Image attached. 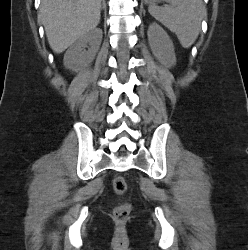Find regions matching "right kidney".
I'll use <instances>...</instances> for the list:
<instances>
[{"label":"right kidney","instance_id":"1","mask_svg":"<svg viewBox=\"0 0 248 250\" xmlns=\"http://www.w3.org/2000/svg\"><path fill=\"white\" fill-rule=\"evenodd\" d=\"M102 41V30L95 29L80 37L64 55V66L74 72L87 67L96 56ZM88 48V50H86Z\"/></svg>","mask_w":248,"mask_h":250}]
</instances>
